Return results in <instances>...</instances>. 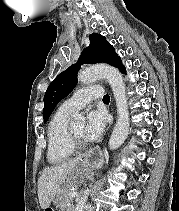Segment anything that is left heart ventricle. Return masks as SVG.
Listing matches in <instances>:
<instances>
[{"mask_svg": "<svg viewBox=\"0 0 179 211\" xmlns=\"http://www.w3.org/2000/svg\"><path fill=\"white\" fill-rule=\"evenodd\" d=\"M72 129L79 138L84 140L85 125L83 123L73 125Z\"/></svg>", "mask_w": 179, "mask_h": 211, "instance_id": "obj_1", "label": "left heart ventricle"}]
</instances>
